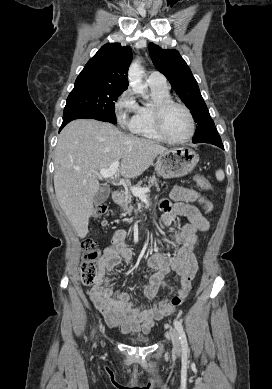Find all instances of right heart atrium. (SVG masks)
<instances>
[{
  "mask_svg": "<svg viewBox=\"0 0 272 389\" xmlns=\"http://www.w3.org/2000/svg\"><path fill=\"white\" fill-rule=\"evenodd\" d=\"M137 103L130 89L124 90L116 99L114 110L120 125H129L130 119L134 116Z\"/></svg>",
  "mask_w": 272,
  "mask_h": 389,
  "instance_id": "1",
  "label": "right heart atrium"
}]
</instances>
